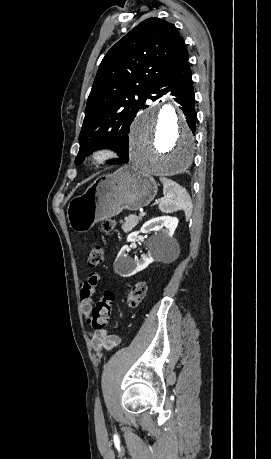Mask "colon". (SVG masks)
Masks as SVG:
<instances>
[{
    "label": "colon",
    "instance_id": "colon-1",
    "mask_svg": "<svg viewBox=\"0 0 271 459\" xmlns=\"http://www.w3.org/2000/svg\"><path fill=\"white\" fill-rule=\"evenodd\" d=\"M115 222L111 219L105 220L101 224V228L105 232H110L114 229ZM104 260V249L101 245L95 244L91 247L88 256V266H99ZM147 292V286L143 282L134 284L127 296V304L131 308L137 307L143 300ZM114 295L110 291L104 292L98 301L93 305L90 315L87 319L89 325L96 330L103 329L111 315L112 303Z\"/></svg>",
    "mask_w": 271,
    "mask_h": 459
}]
</instances>
